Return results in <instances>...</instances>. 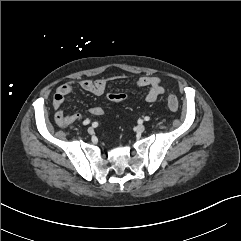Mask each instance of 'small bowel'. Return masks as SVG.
I'll return each instance as SVG.
<instances>
[{"instance_id": "small-bowel-1", "label": "small bowel", "mask_w": 241, "mask_h": 241, "mask_svg": "<svg viewBox=\"0 0 241 241\" xmlns=\"http://www.w3.org/2000/svg\"><path fill=\"white\" fill-rule=\"evenodd\" d=\"M126 78L125 75L111 76V77H101L98 79H79L75 81H70L60 85L53 97V108L55 113V122L59 126H67L81 118V114L78 112L65 113L61 107L65 101V98L72 93L75 87L92 93L94 95L100 96L104 93L107 84L116 79ZM136 84L140 88L146 89L145 99L149 103H154L160 95L164 93V87L162 86V80L156 76H141ZM112 94V93H111ZM126 98V97H125ZM124 100V99H123ZM122 101V100H121ZM90 113L93 116H101L104 110L101 106H93L90 108Z\"/></svg>"}]
</instances>
